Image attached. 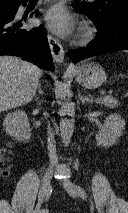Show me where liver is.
<instances>
[{
	"instance_id": "1",
	"label": "liver",
	"mask_w": 128,
	"mask_h": 213,
	"mask_svg": "<svg viewBox=\"0 0 128 213\" xmlns=\"http://www.w3.org/2000/svg\"><path fill=\"white\" fill-rule=\"evenodd\" d=\"M42 71L32 63L0 56V113L31 101Z\"/></svg>"
}]
</instances>
